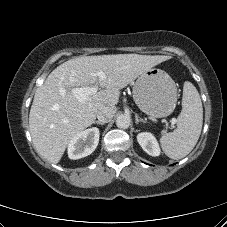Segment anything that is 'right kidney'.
I'll use <instances>...</instances> for the list:
<instances>
[{"mask_svg": "<svg viewBox=\"0 0 227 227\" xmlns=\"http://www.w3.org/2000/svg\"><path fill=\"white\" fill-rule=\"evenodd\" d=\"M99 129H86L76 134L68 144V157L77 160L90 155L99 143Z\"/></svg>", "mask_w": 227, "mask_h": 227, "instance_id": "1", "label": "right kidney"}]
</instances>
